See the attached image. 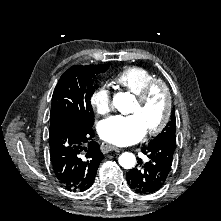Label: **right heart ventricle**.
<instances>
[{
  "mask_svg": "<svg viewBox=\"0 0 221 221\" xmlns=\"http://www.w3.org/2000/svg\"><path fill=\"white\" fill-rule=\"evenodd\" d=\"M158 79L150 70L140 66H129L117 72L112 81L138 96L152 81Z\"/></svg>",
  "mask_w": 221,
  "mask_h": 221,
  "instance_id": "e07e8e85",
  "label": "right heart ventricle"
}]
</instances>
